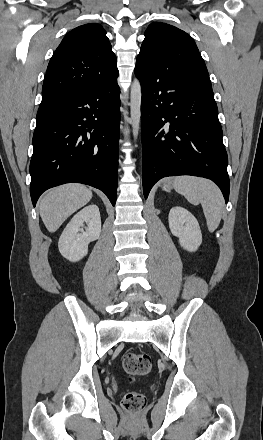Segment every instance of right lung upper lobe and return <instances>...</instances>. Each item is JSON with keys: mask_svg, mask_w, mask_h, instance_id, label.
Segmentation results:
<instances>
[{"mask_svg": "<svg viewBox=\"0 0 263 440\" xmlns=\"http://www.w3.org/2000/svg\"><path fill=\"white\" fill-rule=\"evenodd\" d=\"M117 76L116 56L103 27L79 26L64 37L48 64L40 107Z\"/></svg>", "mask_w": 263, "mask_h": 440, "instance_id": "obj_1", "label": "right lung upper lobe"}]
</instances>
